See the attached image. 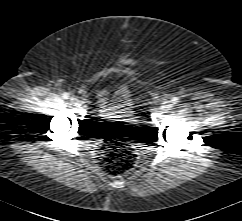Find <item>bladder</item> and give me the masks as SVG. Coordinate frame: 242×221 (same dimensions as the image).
Segmentation results:
<instances>
[{
    "mask_svg": "<svg viewBox=\"0 0 242 221\" xmlns=\"http://www.w3.org/2000/svg\"><path fill=\"white\" fill-rule=\"evenodd\" d=\"M110 112H112V114L114 113H130L131 111H133V107L127 103H122V102H114L112 103V105L110 106Z\"/></svg>",
    "mask_w": 242,
    "mask_h": 221,
    "instance_id": "1",
    "label": "bladder"
}]
</instances>
